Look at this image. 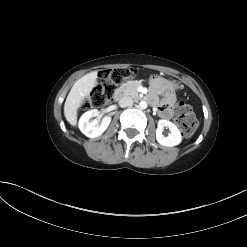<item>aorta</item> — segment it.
Wrapping results in <instances>:
<instances>
[{
  "instance_id": "aorta-1",
  "label": "aorta",
  "mask_w": 247,
  "mask_h": 247,
  "mask_svg": "<svg viewBox=\"0 0 247 247\" xmlns=\"http://www.w3.org/2000/svg\"><path fill=\"white\" fill-rule=\"evenodd\" d=\"M147 106H148V104H147L146 101H143V100L140 101V103H139V108H140V109H146Z\"/></svg>"
}]
</instances>
